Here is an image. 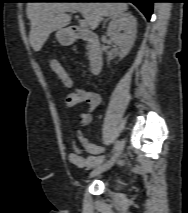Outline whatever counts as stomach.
<instances>
[{"label":"stomach","instance_id":"obj_1","mask_svg":"<svg viewBox=\"0 0 188 213\" xmlns=\"http://www.w3.org/2000/svg\"><path fill=\"white\" fill-rule=\"evenodd\" d=\"M56 38L63 46H69L74 42V36L69 29H59Z\"/></svg>","mask_w":188,"mask_h":213}]
</instances>
